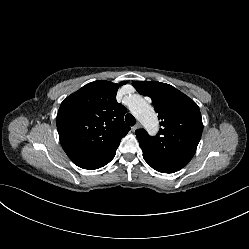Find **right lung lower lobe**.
I'll list each match as a JSON object with an SVG mask.
<instances>
[{"label":"right lung lower lobe","instance_id":"right-lung-lower-lobe-1","mask_svg":"<svg viewBox=\"0 0 249 249\" xmlns=\"http://www.w3.org/2000/svg\"><path fill=\"white\" fill-rule=\"evenodd\" d=\"M116 149L117 148H114L98 156L77 158L73 159L72 161L77 166L84 169H98L108 164L114 158Z\"/></svg>","mask_w":249,"mask_h":249}]
</instances>
